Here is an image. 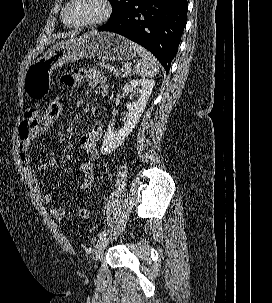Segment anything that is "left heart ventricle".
<instances>
[{
    "mask_svg": "<svg viewBox=\"0 0 272 303\" xmlns=\"http://www.w3.org/2000/svg\"><path fill=\"white\" fill-rule=\"evenodd\" d=\"M101 11L96 0H76L68 9L66 17L70 23H78L98 17Z\"/></svg>",
    "mask_w": 272,
    "mask_h": 303,
    "instance_id": "left-heart-ventricle-1",
    "label": "left heart ventricle"
}]
</instances>
